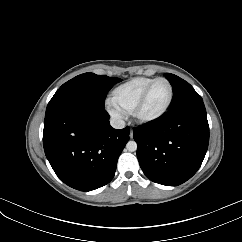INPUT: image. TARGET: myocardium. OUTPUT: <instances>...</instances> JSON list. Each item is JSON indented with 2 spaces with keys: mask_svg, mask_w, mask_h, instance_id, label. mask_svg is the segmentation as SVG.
Returning a JSON list of instances; mask_svg holds the SVG:
<instances>
[{
  "mask_svg": "<svg viewBox=\"0 0 242 242\" xmlns=\"http://www.w3.org/2000/svg\"><path fill=\"white\" fill-rule=\"evenodd\" d=\"M158 81H165L168 84L169 92H170L168 101H167L166 105L163 107V109L160 112H158L157 114H155L153 116H142L140 113V110L145 103V100L147 98L149 91L151 90L153 85ZM173 97H174V89H173L172 83L165 77H157V78L153 79L145 87V89L139 96L138 100L134 104L132 111H131V115L134 118V120L139 123H143V124L154 123V122L158 121L159 119H161L167 113V111L169 110V108L173 102Z\"/></svg>",
  "mask_w": 242,
  "mask_h": 242,
  "instance_id": "1",
  "label": "myocardium"
}]
</instances>
